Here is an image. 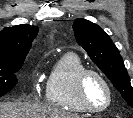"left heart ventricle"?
Instances as JSON below:
<instances>
[{
    "mask_svg": "<svg viewBox=\"0 0 133 118\" xmlns=\"http://www.w3.org/2000/svg\"><path fill=\"white\" fill-rule=\"evenodd\" d=\"M86 96L89 103L95 107H103L107 102V90L100 79L90 76L86 82Z\"/></svg>",
    "mask_w": 133,
    "mask_h": 118,
    "instance_id": "b2bd125f",
    "label": "left heart ventricle"
}]
</instances>
